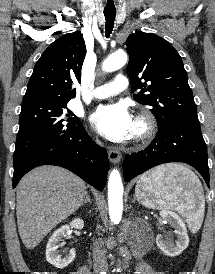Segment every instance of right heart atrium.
<instances>
[{"label":"right heart atrium","instance_id":"1","mask_svg":"<svg viewBox=\"0 0 215 274\" xmlns=\"http://www.w3.org/2000/svg\"><path fill=\"white\" fill-rule=\"evenodd\" d=\"M95 142H96L97 144H100V143H101L100 140H99L97 137H95Z\"/></svg>","mask_w":215,"mask_h":274}]
</instances>
